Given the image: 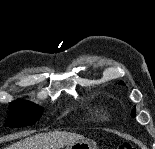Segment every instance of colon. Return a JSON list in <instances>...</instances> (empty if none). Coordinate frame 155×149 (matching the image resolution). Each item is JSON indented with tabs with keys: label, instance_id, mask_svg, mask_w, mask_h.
<instances>
[{
	"label": "colon",
	"instance_id": "5ec220e1",
	"mask_svg": "<svg viewBox=\"0 0 155 149\" xmlns=\"http://www.w3.org/2000/svg\"><path fill=\"white\" fill-rule=\"evenodd\" d=\"M118 149H133V146L129 142H124L118 146Z\"/></svg>",
	"mask_w": 155,
	"mask_h": 149
}]
</instances>
